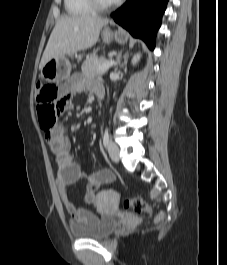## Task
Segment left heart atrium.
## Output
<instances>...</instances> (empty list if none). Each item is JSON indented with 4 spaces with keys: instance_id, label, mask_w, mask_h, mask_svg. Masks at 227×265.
Masks as SVG:
<instances>
[{
    "instance_id": "obj_1",
    "label": "left heart atrium",
    "mask_w": 227,
    "mask_h": 265,
    "mask_svg": "<svg viewBox=\"0 0 227 265\" xmlns=\"http://www.w3.org/2000/svg\"><path fill=\"white\" fill-rule=\"evenodd\" d=\"M113 2L119 1V0H112Z\"/></svg>"
}]
</instances>
